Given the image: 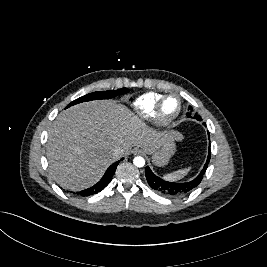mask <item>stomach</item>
Here are the masks:
<instances>
[{"label": "stomach", "instance_id": "obj_1", "mask_svg": "<svg viewBox=\"0 0 267 267\" xmlns=\"http://www.w3.org/2000/svg\"><path fill=\"white\" fill-rule=\"evenodd\" d=\"M176 139L173 137L168 138L163 144L156 150H145L152 156V161L157 166L166 165L176 151Z\"/></svg>", "mask_w": 267, "mask_h": 267}]
</instances>
